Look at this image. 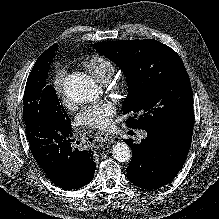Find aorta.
<instances>
[{
  "label": "aorta",
  "mask_w": 219,
  "mask_h": 219,
  "mask_svg": "<svg viewBox=\"0 0 219 219\" xmlns=\"http://www.w3.org/2000/svg\"><path fill=\"white\" fill-rule=\"evenodd\" d=\"M64 93L73 101H91L99 94V88L94 79L83 73L69 75L64 82ZM113 157L119 162L131 160L132 152L124 142H117L112 148Z\"/></svg>",
  "instance_id": "obj_1"
}]
</instances>
